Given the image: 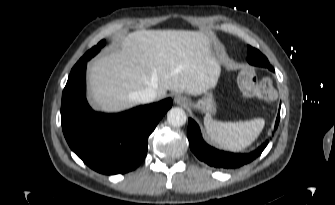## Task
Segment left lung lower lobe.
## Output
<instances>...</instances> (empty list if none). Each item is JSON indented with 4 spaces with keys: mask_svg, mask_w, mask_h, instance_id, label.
I'll use <instances>...</instances> for the list:
<instances>
[{
    "mask_svg": "<svg viewBox=\"0 0 335 205\" xmlns=\"http://www.w3.org/2000/svg\"><path fill=\"white\" fill-rule=\"evenodd\" d=\"M274 71V70H272ZM280 120V109L277 115L275 129ZM187 135L190 143V149L197 158L207 165L219 169L239 168L257 158L267 146L268 142L263 144L257 150L251 153L235 154L217 150L204 142L197 123L189 119Z\"/></svg>",
    "mask_w": 335,
    "mask_h": 205,
    "instance_id": "0a47b994",
    "label": "left lung lower lobe"
}]
</instances>
